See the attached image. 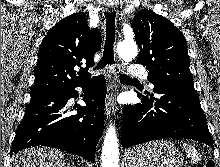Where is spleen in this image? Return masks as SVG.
<instances>
[{
	"label": "spleen",
	"mask_w": 220,
	"mask_h": 167,
	"mask_svg": "<svg viewBox=\"0 0 220 167\" xmlns=\"http://www.w3.org/2000/svg\"><path fill=\"white\" fill-rule=\"evenodd\" d=\"M183 148L185 149L187 156L193 161L194 163L201 160L200 153L193 147L192 145H189L187 143L183 144Z\"/></svg>",
	"instance_id": "1"
}]
</instances>
